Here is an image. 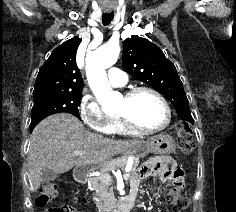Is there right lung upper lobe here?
<instances>
[{
    "label": "right lung upper lobe",
    "mask_w": 236,
    "mask_h": 212,
    "mask_svg": "<svg viewBox=\"0 0 236 212\" xmlns=\"http://www.w3.org/2000/svg\"><path fill=\"white\" fill-rule=\"evenodd\" d=\"M81 41L73 37L54 49L37 75L34 96L49 92H82L83 79L76 65Z\"/></svg>",
    "instance_id": "1"
}]
</instances>
